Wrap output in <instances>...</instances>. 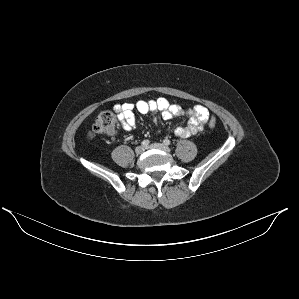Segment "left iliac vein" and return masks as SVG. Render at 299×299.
Instances as JSON below:
<instances>
[{
    "label": "left iliac vein",
    "mask_w": 299,
    "mask_h": 299,
    "mask_svg": "<svg viewBox=\"0 0 299 299\" xmlns=\"http://www.w3.org/2000/svg\"><path fill=\"white\" fill-rule=\"evenodd\" d=\"M148 148L162 150L165 152H170V148L168 146H166L164 144H160V143H153Z\"/></svg>",
    "instance_id": "obj_1"
}]
</instances>
